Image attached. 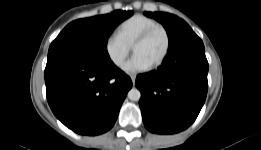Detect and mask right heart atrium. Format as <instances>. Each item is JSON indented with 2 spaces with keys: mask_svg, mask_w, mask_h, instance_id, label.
Here are the masks:
<instances>
[{
  "mask_svg": "<svg viewBox=\"0 0 261 150\" xmlns=\"http://www.w3.org/2000/svg\"><path fill=\"white\" fill-rule=\"evenodd\" d=\"M104 49L108 59L116 67L123 65L131 51V47L125 44L117 34H111L106 38Z\"/></svg>",
  "mask_w": 261,
  "mask_h": 150,
  "instance_id": "right-heart-atrium-1",
  "label": "right heart atrium"
}]
</instances>
